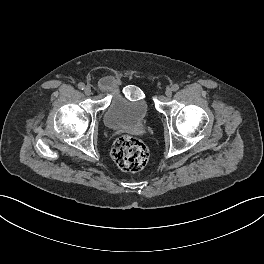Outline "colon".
Listing matches in <instances>:
<instances>
[{
    "mask_svg": "<svg viewBox=\"0 0 264 264\" xmlns=\"http://www.w3.org/2000/svg\"><path fill=\"white\" fill-rule=\"evenodd\" d=\"M112 158L123 171L135 173L147 165L149 151L141 140L131 136H122L113 144Z\"/></svg>",
    "mask_w": 264,
    "mask_h": 264,
    "instance_id": "5ec220e1",
    "label": "colon"
}]
</instances>
